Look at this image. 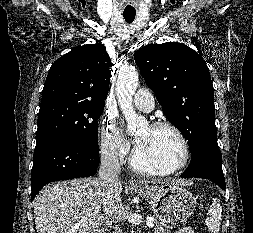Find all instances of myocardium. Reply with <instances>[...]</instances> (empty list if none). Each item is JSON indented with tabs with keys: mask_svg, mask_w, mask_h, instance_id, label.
Returning a JSON list of instances; mask_svg holds the SVG:
<instances>
[{
	"mask_svg": "<svg viewBox=\"0 0 253 233\" xmlns=\"http://www.w3.org/2000/svg\"><path fill=\"white\" fill-rule=\"evenodd\" d=\"M150 128L154 130L165 129L174 133L176 137L178 138L182 147V158L180 162L171 169L154 170V169L145 167L139 163L137 159V150L136 148H134L131 154V158H130L131 166L141 174L148 175V176H158V177L169 176L185 168L190 159V146L184 133L174 124L169 123V122H164V121L154 122L150 125Z\"/></svg>",
	"mask_w": 253,
	"mask_h": 233,
	"instance_id": "1",
	"label": "myocardium"
}]
</instances>
